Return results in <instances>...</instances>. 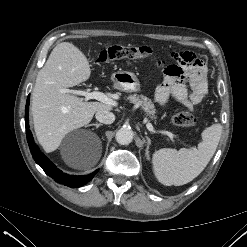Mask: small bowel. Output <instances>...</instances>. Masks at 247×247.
<instances>
[{
  "label": "small bowel",
  "mask_w": 247,
  "mask_h": 247,
  "mask_svg": "<svg viewBox=\"0 0 247 247\" xmlns=\"http://www.w3.org/2000/svg\"><path fill=\"white\" fill-rule=\"evenodd\" d=\"M171 58L176 64L165 67V78L156 89L155 100L164 106L172 98L192 109L207 95L206 67L195 55L188 52L172 53ZM187 83L190 87L189 93Z\"/></svg>",
  "instance_id": "1"
}]
</instances>
